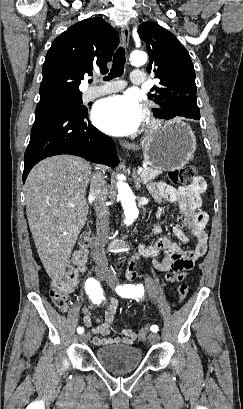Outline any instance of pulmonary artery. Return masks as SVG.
<instances>
[{
	"mask_svg": "<svg viewBox=\"0 0 243 409\" xmlns=\"http://www.w3.org/2000/svg\"><path fill=\"white\" fill-rule=\"evenodd\" d=\"M131 82L135 85H142L145 82L144 73L141 70L132 71ZM124 85V82H107L101 86L90 87L84 92L83 98L86 101L93 100L100 96L117 92L121 90Z\"/></svg>",
	"mask_w": 243,
	"mask_h": 409,
	"instance_id": "1",
	"label": "pulmonary artery"
}]
</instances>
